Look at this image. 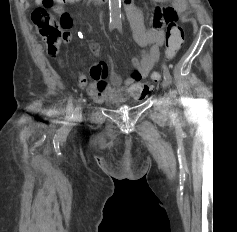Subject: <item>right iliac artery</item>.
I'll list each match as a JSON object with an SVG mask.
<instances>
[{"instance_id":"right-iliac-artery-1","label":"right iliac artery","mask_w":237,"mask_h":232,"mask_svg":"<svg viewBox=\"0 0 237 232\" xmlns=\"http://www.w3.org/2000/svg\"><path fill=\"white\" fill-rule=\"evenodd\" d=\"M114 27H115L114 25H110L109 29L112 30ZM66 112H67L66 119L71 120L73 118V104H72L71 97L69 98Z\"/></svg>"}]
</instances>
